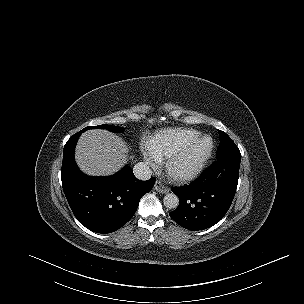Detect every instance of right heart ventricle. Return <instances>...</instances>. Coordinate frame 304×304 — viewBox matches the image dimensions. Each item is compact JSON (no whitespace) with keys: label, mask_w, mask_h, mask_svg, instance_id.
<instances>
[{"label":"right heart ventricle","mask_w":304,"mask_h":304,"mask_svg":"<svg viewBox=\"0 0 304 304\" xmlns=\"http://www.w3.org/2000/svg\"><path fill=\"white\" fill-rule=\"evenodd\" d=\"M201 133L195 129L168 128L158 131L151 139V150L163 158H170L181 151Z\"/></svg>","instance_id":"obj_1"}]
</instances>
